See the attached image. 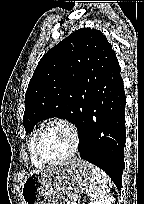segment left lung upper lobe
I'll return each mask as SVG.
<instances>
[{
  "instance_id": "obj_1",
  "label": "left lung upper lobe",
  "mask_w": 144,
  "mask_h": 204,
  "mask_svg": "<svg viewBox=\"0 0 144 204\" xmlns=\"http://www.w3.org/2000/svg\"><path fill=\"white\" fill-rule=\"evenodd\" d=\"M115 57L103 33L91 28L76 30L50 49L39 61L26 91V134L51 117L68 119L80 132L97 69Z\"/></svg>"
}]
</instances>
